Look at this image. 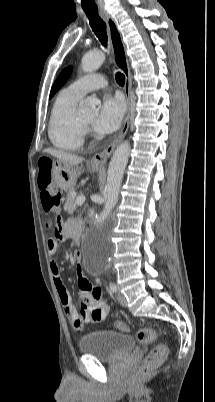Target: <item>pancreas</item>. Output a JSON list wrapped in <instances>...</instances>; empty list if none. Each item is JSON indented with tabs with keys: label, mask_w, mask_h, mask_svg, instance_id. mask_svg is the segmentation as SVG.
Here are the masks:
<instances>
[{
	"label": "pancreas",
	"mask_w": 215,
	"mask_h": 402,
	"mask_svg": "<svg viewBox=\"0 0 215 402\" xmlns=\"http://www.w3.org/2000/svg\"><path fill=\"white\" fill-rule=\"evenodd\" d=\"M74 192V188H71L67 191L66 202L64 204V210L70 214L76 210L75 196H73Z\"/></svg>",
	"instance_id": "pancreas-1"
}]
</instances>
